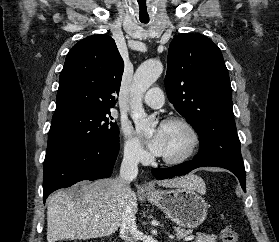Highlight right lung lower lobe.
Masks as SVG:
<instances>
[{
    "label": "right lung lower lobe",
    "instance_id": "right-lung-lower-lobe-1",
    "mask_svg": "<svg viewBox=\"0 0 279 242\" xmlns=\"http://www.w3.org/2000/svg\"><path fill=\"white\" fill-rule=\"evenodd\" d=\"M119 152L118 144L81 147L45 159L43 165V200L55 190L82 180H96L111 175Z\"/></svg>",
    "mask_w": 279,
    "mask_h": 242
}]
</instances>
